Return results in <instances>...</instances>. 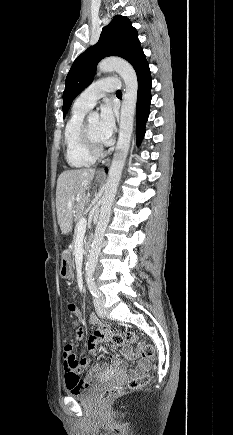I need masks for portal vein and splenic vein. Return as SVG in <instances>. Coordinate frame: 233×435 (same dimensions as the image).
I'll return each instance as SVG.
<instances>
[{
  "label": "portal vein and splenic vein",
  "instance_id": "1",
  "mask_svg": "<svg viewBox=\"0 0 233 435\" xmlns=\"http://www.w3.org/2000/svg\"><path fill=\"white\" fill-rule=\"evenodd\" d=\"M76 201H79V198H77ZM86 226H87L86 218H81L77 223V234L85 233Z\"/></svg>",
  "mask_w": 233,
  "mask_h": 435
}]
</instances>
